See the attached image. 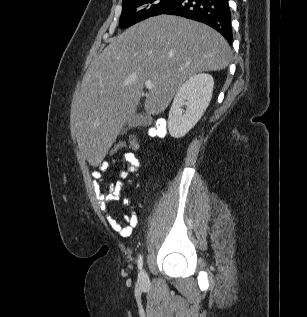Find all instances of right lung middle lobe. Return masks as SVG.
<instances>
[{
  "instance_id": "obj_1",
  "label": "right lung middle lobe",
  "mask_w": 307,
  "mask_h": 317,
  "mask_svg": "<svg viewBox=\"0 0 307 317\" xmlns=\"http://www.w3.org/2000/svg\"><path fill=\"white\" fill-rule=\"evenodd\" d=\"M175 0H123L120 27L132 26L151 16L162 14Z\"/></svg>"
}]
</instances>
